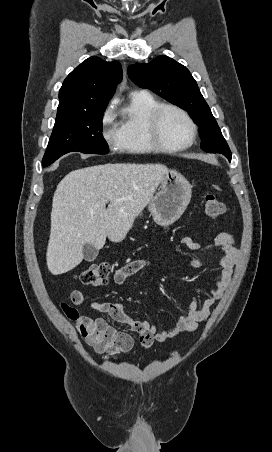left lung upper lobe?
Listing matches in <instances>:
<instances>
[{"instance_id":"left-lung-upper-lobe-1","label":"left lung upper lobe","mask_w":272,"mask_h":452,"mask_svg":"<svg viewBox=\"0 0 272 452\" xmlns=\"http://www.w3.org/2000/svg\"><path fill=\"white\" fill-rule=\"evenodd\" d=\"M129 78L139 87L147 88L170 103L189 112L199 126L201 148L222 153L231 159V151L204 100L195 79L182 64L167 56H158L149 63L128 67Z\"/></svg>"}]
</instances>
